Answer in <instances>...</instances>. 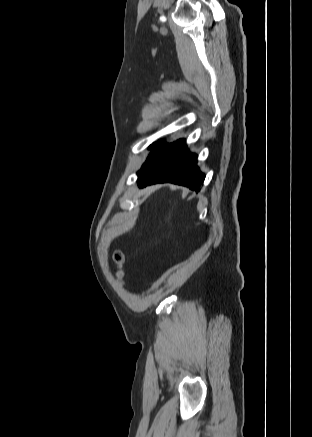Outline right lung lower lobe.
<instances>
[{
  "label": "right lung lower lobe",
  "instance_id": "1",
  "mask_svg": "<svg viewBox=\"0 0 312 437\" xmlns=\"http://www.w3.org/2000/svg\"><path fill=\"white\" fill-rule=\"evenodd\" d=\"M138 177L140 187L171 182L196 192L205 179L197 166V156L189 152L184 139L152 151Z\"/></svg>",
  "mask_w": 312,
  "mask_h": 437
}]
</instances>
